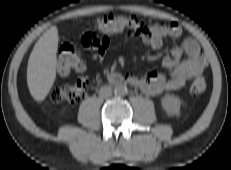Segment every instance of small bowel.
Wrapping results in <instances>:
<instances>
[{"label":"small bowel","mask_w":231,"mask_h":170,"mask_svg":"<svg viewBox=\"0 0 231 170\" xmlns=\"http://www.w3.org/2000/svg\"><path fill=\"white\" fill-rule=\"evenodd\" d=\"M181 34L180 25L172 22L168 25L154 23L145 26L144 31L138 36L145 44L159 49L166 38L179 39ZM110 42V34L99 32H88L81 39L82 45L89 50H96L100 59ZM162 65L167 74L151 70L141 76L128 75L126 81L138 86L148 95H158L165 91L180 89L187 80L203 72L207 61L196 41L186 38L179 47L174 48L163 58Z\"/></svg>","instance_id":"1"}]
</instances>
